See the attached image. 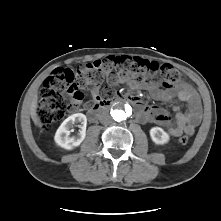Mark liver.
Listing matches in <instances>:
<instances>
[{"label":"liver","instance_id":"6515ba94","mask_svg":"<svg viewBox=\"0 0 221 221\" xmlns=\"http://www.w3.org/2000/svg\"><path fill=\"white\" fill-rule=\"evenodd\" d=\"M37 95L34 96L33 100H32V103H31V108H30V115H31V118L34 122L35 125L41 127L42 126V123L40 121V118L39 116L37 115L36 113V109H37Z\"/></svg>","mask_w":221,"mask_h":221}]
</instances>
